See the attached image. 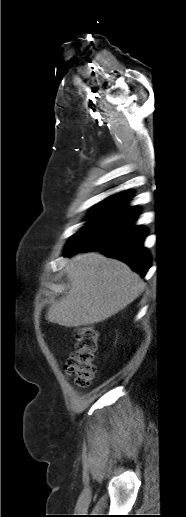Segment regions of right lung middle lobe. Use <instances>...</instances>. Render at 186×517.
<instances>
[{
  "instance_id": "1",
  "label": "right lung middle lobe",
  "mask_w": 186,
  "mask_h": 517,
  "mask_svg": "<svg viewBox=\"0 0 186 517\" xmlns=\"http://www.w3.org/2000/svg\"><path fill=\"white\" fill-rule=\"evenodd\" d=\"M115 204L108 201H102L100 205H97L90 215V223L102 216L106 211H108Z\"/></svg>"
}]
</instances>
